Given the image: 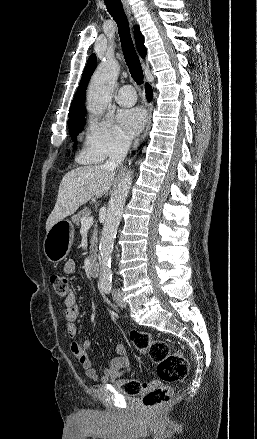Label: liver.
Wrapping results in <instances>:
<instances>
[{
	"instance_id": "obj_1",
	"label": "liver",
	"mask_w": 257,
	"mask_h": 439,
	"mask_svg": "<svg viewBox=\"0 0 257 439\" xmlns=\"http://www.w3.org/2000/svg\"><path fill=\"white\" fill-rule=\"evenodd\" d=\"M114 177V169H107L104 165L78 167L65 174L59 186L55 207L47 219L46 231L74 214L91 198H100L106 194Z\"/></svg>"
}]
</instances>
